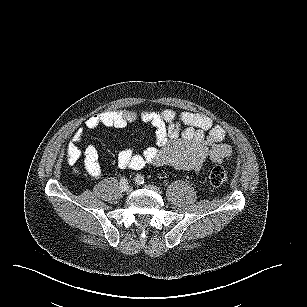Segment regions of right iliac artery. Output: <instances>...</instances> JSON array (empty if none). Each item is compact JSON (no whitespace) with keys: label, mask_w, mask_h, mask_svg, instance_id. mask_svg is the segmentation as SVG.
<instances>
[{"label":"right iliac artery","mask_w":307,"mask_h":307,"mask_svg":"<svg viewBox=\"0 0 307 307\" xmlns=\"http://www.w3.org/2000/svg\"><path fill=\"white\" fill-rule=\"evenodd\" d=\"M126 186H128V181L126 179H121L120 187L123 188V187H126Z\"/></svg>","instance_id":"1"}]
</instances>
